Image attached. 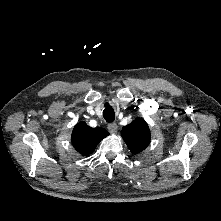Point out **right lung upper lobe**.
Instances as JSON below:
<instances>
[{
    "label": "right lung upper lobe",
    "instance_id": "1",
    "mask_svg": "<svg viewBox=\"0 0 221 221\" xmlns=\"http://www.w3.org/2000/svg\"><path fill=\"white\" fill-rule=\"evenodd\" d=\"M109 135L103 128H91L85 122H79L75 125L72 132V144L74 148L82 155L92 153L98 143Z\"/></svg>",
    "mask_w": 221,
    "mask_h": 221
}]
</instances>
